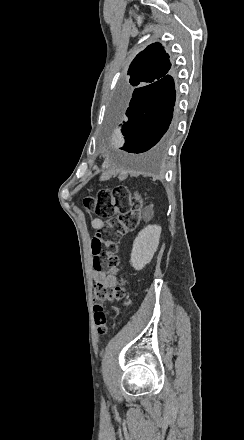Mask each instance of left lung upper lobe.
<instances>
[{
  "instance_id": "1",
  "label": "left lung upper lobe",
  "mask_w": 244,
  "mask_h": 440,
  "mask_svg": "<svg viewBox=\"0 0 244 440\" xmlns=\"http://www.w3.org/2000/svg\"><path fill=\"white\" fill-rule=\"evenodd\" d=\"M169 56L160 43H153L141 51L129 66L127 75L132 87L149 85L169 73Z\"/></svg>"
}]
</instances>
